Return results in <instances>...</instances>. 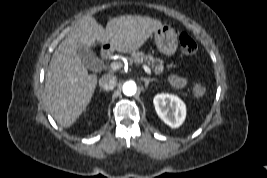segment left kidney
Listing matches in <instances>:
<instances>
[{
    "mask_svg": "<svg viewBox=\"0 0 267 178\" xmlns=\"http://www.w3.org/2000/svg\"><path fill=\"white\" fill-rule=\"evenodd\" d=\"M153 103L157 115L168 126L178 128L185 120V104L179 97L168 93H161L154 97Z\"/></svg>",
    "mask_w": 267,
    "mask_h": 178,
    "instance_id": "obj_1",
    "label": "left kidney"
}]
</instances>
